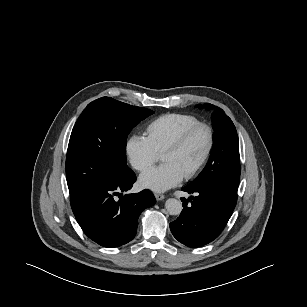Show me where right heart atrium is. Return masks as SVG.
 Wrapping results in <instances>:
<instances>
[{"mask_svg":"<svg viewBox=\"0 0 307 307\" xmlns=\"http://www.w3.org/2000/svg\"><path fill=\"white\" fill-rule=\"evenodd\" d=\"M126 152L133 168L140 172L150 168L160 158L148 138L141 135H132L128 139Z\"/></svg>","mask_w":307,"mask_h":307,"instance_id":"right-heart-atrium-1","label":"right heart atrium"}]
</instances>
